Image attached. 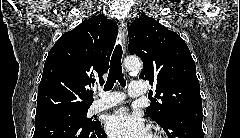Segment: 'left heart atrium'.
Segmentation results:
<instances>
[{
  "mask_svg": "<svg viewBox=\"0 0 240 138\" xmlns=\"http://www.w3.org/2000/svg\"><path fill=\"white\" fill-rule=\"evenodd\" d=\"M105 128L112 138H149L151 134L143 118L130 113L126 108H120L111 114L106 120Z\"/></svg>",
  "mask_w": 240,
  "mask_h": 138,
  "instance_id": "39dd6f15",
  "label": "left heart atrium"
}]
</instances>
